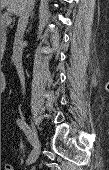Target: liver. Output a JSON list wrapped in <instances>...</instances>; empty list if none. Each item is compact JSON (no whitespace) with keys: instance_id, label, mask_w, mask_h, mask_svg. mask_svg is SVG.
<instances>
[{"instance_id":"liver-1","label":"liver","mask_w":109,"mask_h":170,"mask_svg":"<svg viewBox=\"0 0 109 170\" xmlns=\"http://www.w3.org/2000/svg\"><path fill=\"white\" fill-rule=\"evenodd\" d=\"M22 0H1V7H6L10 13L19 16L21 11Z\"/></svg>"}]
</instances>
